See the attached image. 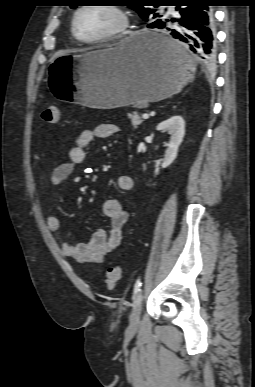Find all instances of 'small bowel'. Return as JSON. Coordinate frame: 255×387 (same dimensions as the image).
Segmentation results:
<instances>
[{
	"mask_svg": "<svg viewBox=\"0 0 255 387\" xmlns=\"http://www.w3.org/2000/svg\"><path fill=\"white\" fill-rule=\"evenodd\" d=\"M119 127L112 123H102L91 129L83 130L77 137L75 144L69 150L68 160L52 168L49 174L53 186L64 184L73 174L75 167L85 163L87 148L96 139H104L119 132ZM117 187L122 192L130 191L133 180L130 176L122 175L117 179ZM102 212L109 220L108 231L97 229L85 243L72 244L65 242L62 253L80 263L100 264L106 255L114 250L122 241L123 227L128 220V211L117 199H108L102 205ZM47 226L52 231H58L60 220L57 215L47 217Z\"/></svg>",
	"mask_w": 255,
	"mask_h": 387,
	"instance_id": "1",
	"label": "small bowel"
}]
</instances>
